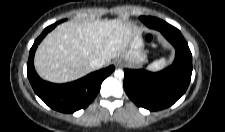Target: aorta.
I'll use <instances>...</instances> for the list:
<instances>
[{"instance_id": "obj_1", "label": "aorta", "mask_w": 225, "mask_h": 132, "mask_svg": "<svg viewBox=\"0 0 225 132\" xmlns=\"http://www.w3.org/2000/svg\"><path fill=\"white\" fill-rule=\"evenodd\" d=\"M114 76L117 79H123L124 78V71L122 69H117L114 71Z\"/></svg>"}]
</instances>
